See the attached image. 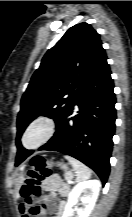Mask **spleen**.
Here are the masks:
<instances>
[{"instance_id":"3e777b00","label":"spleen","mask_w":132,"mask_h":217,"mask_svg":"<svg viewBox=\"0 0 132 217\" xmlns=\"http://www.w3.org/2000/svg\"><path fill=\"white\" fill-rule=\"evenodd\" d=\"M65 159H67L69 163L73 166L77 174L78 182L87 180L91 177L92 171L85 164L71 156H65Z\"/></svg>"}]
</instances>
